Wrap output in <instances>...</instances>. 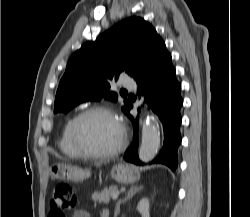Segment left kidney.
Listing matches in <instances>:
<instances>
[{"label":"left kidney","mask_w":250,"mask_h":217,"mask_svg":"<svg viewBox=\"0 0 250 217\" xmlns=\"http://www.w3.org/2000/svg\"><path fill=\"white\" fill-rule=\"evenodd\" d=\"M137 210L142 217H150L149 200L147 198L141 199L137 205Z\"/></svg>","instance_id":"5707ae66"}]
</instances>
